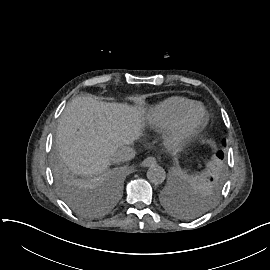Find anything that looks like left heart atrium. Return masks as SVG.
Returning a JSON list of instances; mask_svg holds the SVG:
<instances>
[{
  "instance_id": "1",
  "label": "left heart atrium",
  "mask_w": 270,
  "mask_h": 270,
  "mask_svg": "<svg viewBox=\"0 0 270 270\" xmlns=\"http://www.w3.org/2000/svg\"><path fill=\"white\" fill-rule=\"evenodd\" d=\"M151 151H156V148L152 147V148H151Z\"/></svg>"
}]
</instances>
